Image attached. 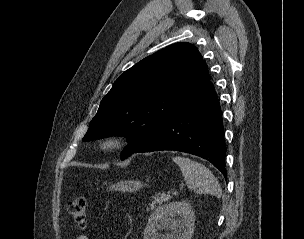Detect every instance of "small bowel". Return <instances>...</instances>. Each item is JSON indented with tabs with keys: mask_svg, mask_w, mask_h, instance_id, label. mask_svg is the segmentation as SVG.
Instances as JSON below:
<instances>
[{
	"mask_svg": "<svg viewBox=\"0 0 304 239\" xmlns=\"http://www.w3.org/2000/svg\"><path fill=\"white\" fill-rule=\"evenodd\" d=\"M76 239H89V237L85 234L78 235Z\"/></svg>",
	"mask_w": 304,
	"mask_h": 239,
	"instance_id": "1",
	"label": "small bowel"
}]
</instances>
